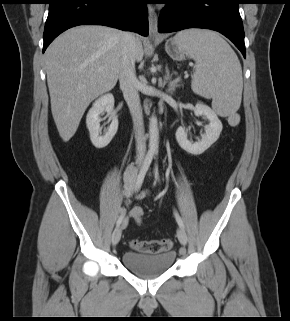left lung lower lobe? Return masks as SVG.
Listing matches in <instances>:
<instances>
[{"label": "left lung lower lobe", "instance_id": "1", "mask_svg": "<svg viewBox=\"0 0 290 321\" xmlns=\"http://www.w3.org/2000/svg\"><path fill=\"white\" fill-rule=\"evenodd\" d=\"M240 0H166L161 10L158 30L161 33L187 28H205L230 39L246 57Z\"/></svg>", "mask_w": 290, "mask_h": 321}]
</instances>
